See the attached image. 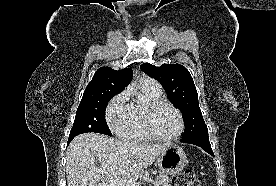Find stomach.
Returning <instances> with one entry per match:
<instances>
[{
  "label": "stomach",
  "instance_id": "obj_1",
  "mask_svg": "<svg viewBox=\"0 0 276 186\" xmlns=\"http://www.w3.org/2000/svg\"><path fill=\"white\" fill-rule=\"evenodd\" d=\"M157 163L161 171L166 174H178L187 164V158L183 149L176 145H169L157 157Z\"/></svg>",
  "mask_w": 276,
  "mask_h": 186
}]
</instances>
